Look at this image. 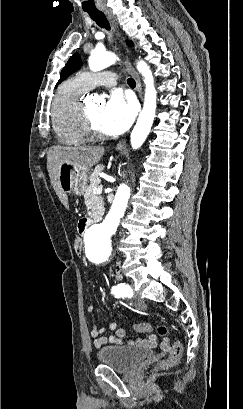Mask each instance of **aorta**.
<instances>
[{"instance_id":"1","label":"aorta","mask_w":243,"mask_h":409,"mask_svg":"<svg viewBox=\"0 0 243 409\" xmlns=\"http://www.w3.org/2000/svg\"><path fill=\"white\" fill-rule=\"evenodd\" d=\"M116 59L113 53L95 50L89 57V68L97 72L114 64ZM137 69L144 78L145 95L143 109L138 116L130 137L133 149L140 148L145 142L152 127L157 106V92L154 87V78L150 67L144 61H139ZM92 99L97 101L99 96L94 95ZM130 191L127 185L121 184L117 189L114 201L105 219L101 223L91 225L85 231L84 243L88 255L90 253H98L103 257H107L111 253V236L116 232L120 219L124 215L130 198Z\"/></svg>"}]
</instances>
